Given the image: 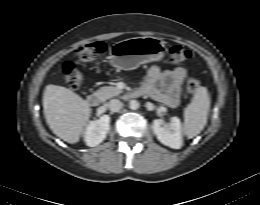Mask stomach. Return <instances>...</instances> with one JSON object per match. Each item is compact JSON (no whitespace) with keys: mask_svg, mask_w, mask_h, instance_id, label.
<instances>
[{"mask_svg":"<svg viewBox=\"0 0 260 205\" xmlns=\"http://www.w3.org/2000/svg\"><path fill=\"white\" fill-rule=\"evenodd\" d=\"M165 49L164 41L160 38L147 36L125 39L111 48V64L123 70L135 69L144 63L160 61Z\"/></svg>","mask_w":260,"mask_h":205,"instance_id":"obj_1","label":"stomach"}]
</instances>
